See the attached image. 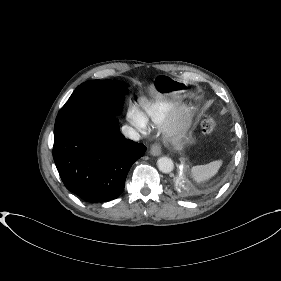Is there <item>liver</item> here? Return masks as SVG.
Segmentation results:
<instances>
[{"instance_id": "1", "label": "liver", "mask_w": 281, "mask_h": 281, "mask_svg": "<svg viewBox=\"0 0 281 281\" xmlns=\"http://www.w3.org/2000/svg\"><path fill=\"white\" fill-rule=\"evenodd\" d=\"M150 91L153 92V91H152V88H150ZM156 95L159 96L157 93H156Z\"/></svg>"}]
</instances>
